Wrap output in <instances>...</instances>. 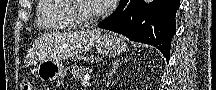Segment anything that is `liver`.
<instances>
[{
    "label": "liver",
    "mask_w": 216,
    "mask_h": 90,
    "mask_svg": "<svg viewBox=\"0 0 216 90\" xmlns=\"http://www.w3.org/2000/svg\"><path fill=\"white\" fill-rule=\"evenodd\" d=\"M100 38L99 30H86V32H70V34H66L67 58L76 56L78 52H81L82 48L84 52L91 50L92 46Z\"/></svg>",
    "instance_id": "1"
}]
</instances>
